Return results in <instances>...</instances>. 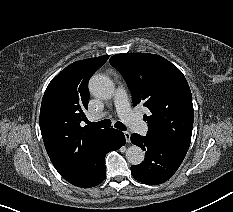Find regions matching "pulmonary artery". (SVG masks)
<instances>
[{
	"mask_svg": "<svg viewBox=\"0 0 233 212\" xmlns=\"http://www.w3.org/2000/svg\"><path fill=\"white\" fill-rule=\"evenodd\" d=\"M114 102L120 118L135 132L145 135L148 131V127L146 123L130 108L128 97L124 88L119 87L116 90ZM95 118L96 116L91 117V119Z\"/></svg>",
	"mask_w": 233,
	"mask_h": 212,
	"instance_id": "obj_1",
	"label": "pulmonary artery"
}]
</instances>
